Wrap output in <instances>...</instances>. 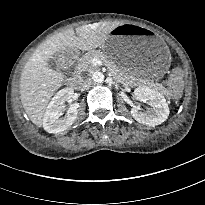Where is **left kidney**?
<instances>
[{
	"label": "left kidney",
	"mask_w": 205,
	"mask_h": 205,
	"mask_svg": "<svg viewBox=\"0 0 205 205\" xmlns=\"http://www.w3.org/2000/svg\"><path fill=\"white\" fill-rule=\"evenodd\" d=\"M137 100H146L153 107L146 112L134 106L131 109L133 118L147 126H155L163 123L169 116V107L162 94L148 87H138L134 90Z\"/></svg>",
	"instance_id": "5707ae66"
}]
</instances>
